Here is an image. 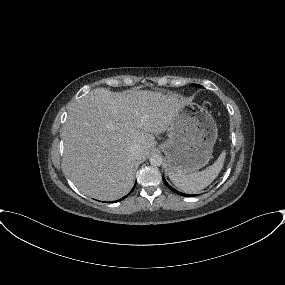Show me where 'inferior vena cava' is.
<instances>
[{
  "label": "inferior vena cava",
  "mask_w": 285,
  "mask_h": 285,
  "mask_svg": "<svg viewBox=\"0 0 285 285\" xmlns=\"http://www.w3.org/2000/svg\"><path fill=\"white\" fill-rule=\"evenodd\" d=\"M130 155L135 158V159H139L141 156V149L138 145H132L130 147Z\"/></svg>",
  "instance_id": "inferior-vena-cava-1"
}]
</instances>
